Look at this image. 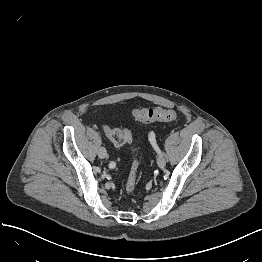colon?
<instances>
[{"mask_svg": "<svg viewBox=\"0 0 262 262\" xmlns=\"http://www.w3.org/2000/svg\"><path fill=\"white\" fill-rule=\"evenodd\" d=\"M134 117L145 123L155 122V121H172L177 118V113L175 110L170 108H137L133 111ZM105 133L109 140L116 146L122 147L129 143L131 140V131L126 128H105ZM152 145H155L154 140H152ZM138 164L139 161L135 160L130 174L128 176L125 189L127 193H133L137 188L138 183Z\"/></svg>", "mask_w": 262, "mask_h": 262, "instance_id": "5ec220e1", "label": "colon"}]
</instances>
